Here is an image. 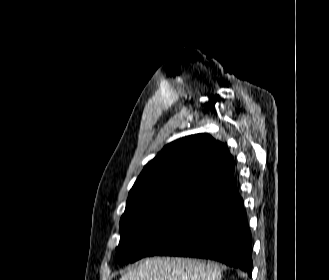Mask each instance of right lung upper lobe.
Returning a JSON list of instances; mask_svg holds the SVG:
<instances>
[{"label": "right lung upper lobe", "mask_w": 329, "mask_h": 280, "mask_svg": "<svg viewBox=\"0 0 329 280\" xmlns=\"http://www.w3.org/2000/svg\"><path fill=\"white\" fill-rule=\"evenodd\" d=\"M233 176L234 161L226 144L208 134L187 136L166 145L144 167L127 206L133 209L178 195L205 199Z\"/></svg>", "instance_id": "right-lung-upper-lobe-1"}]
</instances>
